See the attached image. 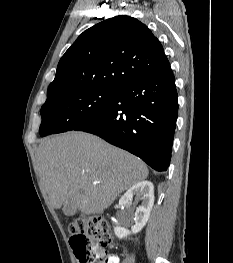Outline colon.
<instances>
[{"instance_id": "obj_1", "label": "colon", "mask_w": 233, "mask_h": 263, "mask_svg": "<svg viewBox=\"0 0 233 263\" xmlns=\"http://www.w3.org/2000/svg\"><path fill=\"white\" fill-rule=\"evenodd\" d=\"M69 234L71 248L80 263H106L113 241L104 217H78L70 223Z\"/></svg>"}]
</instances>
